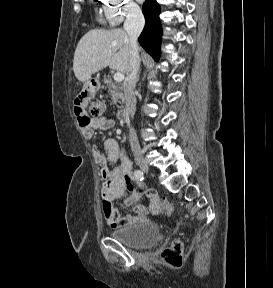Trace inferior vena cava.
Wrapping results in <instances>:
<instances>
[{"label":"inferior vena cava","mask_w":273,"mask_h":288,"mask_svg":"<svg viewBox=\"0 0 273 288\" xmlns=\"http://www.w3.org/2000/svg\"><path fill=\"white\" fill-rule=\"evenodd\" d=\"M144 16L138 5H130L127 9V16L124 22V31L129 37V66L126 72V78L123 84L124 87V99L125 110L128 116L134 117L136 111V98L134 89L138 80V70L140 67V58L138 52L137 39L144 27ZM129 141L131 149L135 154H140V147L138 144L135 130L130 127Z\"/></svg>","instance_id":"602c4592"}]
</instances>
